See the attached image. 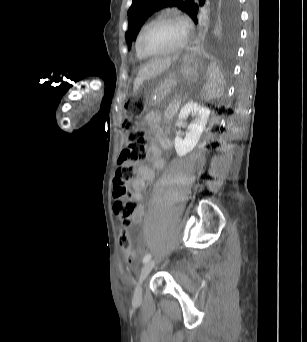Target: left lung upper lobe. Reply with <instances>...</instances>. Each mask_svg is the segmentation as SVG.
<instances>
[{"label":"left lung upper lobe","mask_w":307,"mask_h":342,"mask_svg":"<svg viewBox=\"0 0 307 342\" xmlns=\"http://www.w3.org/2000/svg\"><path fill=\"white\" fill-rule=\"evenodd\" d=\"M214 26L216 40L219 49L231 55L235 51L238 38L239 10L237 0H215ZM205 0H132L128 10V31L125 34L126 41L131 45L133 38L146 19L154 11L165 6H177L185 11L193 19L197 20L199 3L204 4Z\"/></svg>","instance_id":"1"}]
</instances>
